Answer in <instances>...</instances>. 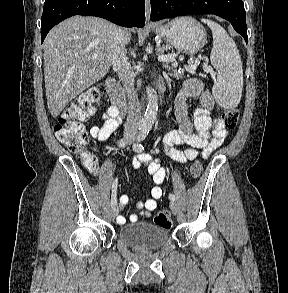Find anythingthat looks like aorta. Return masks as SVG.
<instances>
[{
	"label": "aorta",
	"instance_id": "obj_1",
	"mask_svg": "<svg viewBox=\"0 0 288 293\" xmlns=\"http://www.w3.org/2000/svg\"><path fill=\"white\" fill-rule=\"evenodd\" d=\"M146 94L148 103L144 116L139 122V128L142 131H149L151 129L158 114V98L150 86L146 87Z\"/></svg>",
	"mask_w": 288,
	"mask_h": 293
}]
</instances>
